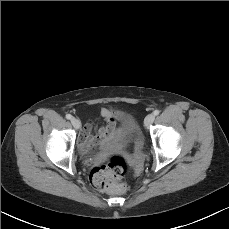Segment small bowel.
I'll return each instance as SVG.
<instances>
[{
  "label": "small bowel",
  "instance_id": "c3829d8e",
  "mask_svg": "<svg viewBox=\"0 0 229 229\" xmlns=\"http://www.w3.org/2000/svg\"><path fill=\"white\" fill-rule=\"evenodd\" d=\"M101 116L105 121V125L100 127L96 132L93 131L91 124H87L84 127L78 141L79 148L82 152H87L88 149L96 143H100L103 147L108 148L110 147L111 140L118 136L116 120L121 117V114L114 110L103 108L101 110Z\"/></svg>",
  "mask_w": 229,
  "mask_h": 229
}]
</instances>
